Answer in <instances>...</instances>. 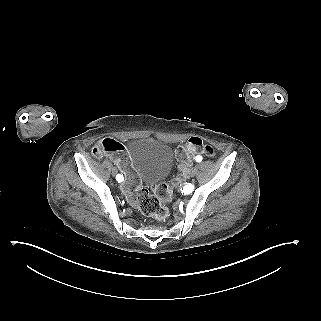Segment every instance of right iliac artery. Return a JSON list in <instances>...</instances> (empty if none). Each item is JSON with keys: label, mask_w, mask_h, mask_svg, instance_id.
I'll return each instance as SVG.
<instances>
[{"label": "right iliac artery", "mask_w": 321, "mask_h": 321, "mask_svg": "<svg viewBox=\"0 0 321 321\" xmlns=\"http://www.w3.org/2000/svg\"><path fill=\"white\" fill-rule=\"evenodd\" d=\"M116 180H117L118 182H121V181L123 180V177H122L121 175H117V176H116Z\"/></svg>", "instance_id": "1"}]
</instances>
